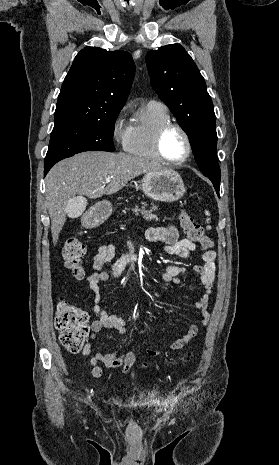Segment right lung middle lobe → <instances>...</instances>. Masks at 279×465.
I'll use <instances>...</instances> for the list:
<instances>
[{
  "mask_svg": "<svg viewBox=\"0 0 279 465\" xmlns=\"http://www.w3.org/2000/svg\"><path fill=\"white\" fill-rule=\"evenodd\" d=\"M121 109L110 111L99 119L72 121L55 125L50 138L44 167L52 166L61 159L89 150H115L113 130Z\"/></svg>",
  "mask_w": 279,
  "mask_h": 465,
  "instance_id": "dd1d6c3e",
  "label": "right lung middle lobe"
}]
</instances>
